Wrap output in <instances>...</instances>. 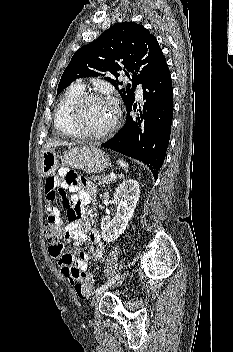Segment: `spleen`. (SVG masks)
I'll list each match as a JSON object with an SVG mask.
<instances>
[{
  "instance_id": "1",
  "label": "spleen",
  "mask_w": 233,
  "mask_h": 352,
  "mask_svg": "<svg viewBox=\"0 0 233 352\" xmlns=\"http://www.w3.org/2000/svg\"><path fill=\"white\" fill-rule=\"evenodd\" d=\"M117 163L124 169V171H128V163L124 162L123 160H118Z\"/></svg>"
}]
</instances>
